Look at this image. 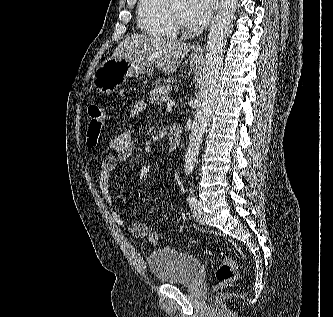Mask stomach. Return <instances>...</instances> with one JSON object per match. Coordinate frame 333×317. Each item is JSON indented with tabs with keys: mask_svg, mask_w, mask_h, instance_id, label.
Segmentation results:
<instances>
[{
	"mask_svg": "<svg viewBox=\"0 0 333 317\" xmlns=\"http://www.w3.org/2000/svg\"><path fill=\"white\" fill-rule=\"evenodd\" d=\"M147 63L142 60L111 58L102 63L93 76V85L101 93L112 94L121 86V80L128 76L138 77L146 71ZM197 63H192L195 69Z\"/></svg>",
	"mask_w": 333,
	"mask_h": 317,
	"instance_id": "obj_1",
	"label": "stomach"
}]
</instances>
